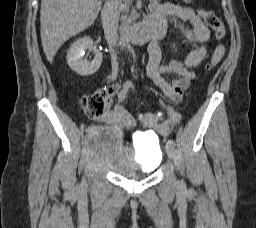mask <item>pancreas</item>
Here are the masks:
<instances>
[{"mask_svg": "<svg viewBox=\"0 0 256 228\" xmlns=\"http://www.w3.org/2000/svg\"><path fill=\"white\" fill-rule=\"evenodd\" d=\"M126 1H129V0H126ZM134 14L132 13L130 16H122L121 20H122V25L123 27H126L128 26L131 21L134 19Z\"/></svg>", "mask_w": 256, "mask_h": 228, "instance_id": "1", "label": "pancreas"}]
</instances>
